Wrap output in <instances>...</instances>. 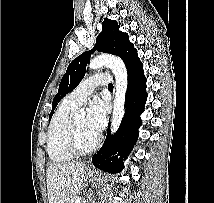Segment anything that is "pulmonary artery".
<instances>
[{"label": "pulmonary artery", "mask_w": 214, "mask_h": 203, "mask_svg": "<svg viewBox=\"0 0 214 203\" xmlns=\"http://www.w3.org/2000/svg\"><path fill=\"white\" fill-rule=\"evenodd\" d=\"M110 76L107 73H97L84 79L70 94L67 95L69 102L80 106L86 98L99 85H109Z\"/></svg>", "instance_id": "obj_1"}]
</instances>
